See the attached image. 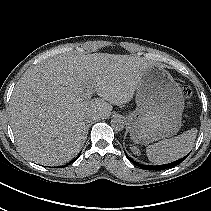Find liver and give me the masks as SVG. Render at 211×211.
Wrapping results in <instances>:
<instances>
[{
    "label": "liver",
    "mask_w": 211,
    "mask_h": 211,
    "mask_svg": "<svg viewBox=\"0 0 211 211\" xmlns=\"http://www.w3.org/2000/svg\"><path fill=\"white\" fill-rule=\"evenodd\" d=\"M153 63L139 57L94 53L57 56L28 69L10 101L17 145L34 162L62 165L85 140V118H105L131 101L143 72ZM100 98L85 99L88 85Z\"/></svg>",
    "instance_id": "obj_1"
}]
</instances>
